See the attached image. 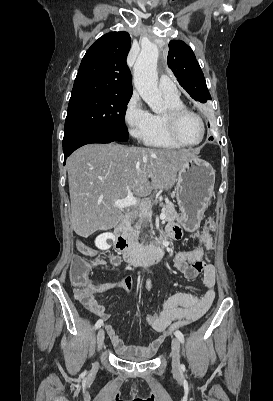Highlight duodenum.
<instances>
[{"label": "duodenum", "instance_id": "obj_1", "mask_svg": "<svg viewBox=\"0 0 273 401\" xmlns=\"http://www.w3.org/2000/svg\"><path fill=\"white\" fill-rule=\"evenodd\" d=\"M129 223L130 216L127 215L116 227L115 247L122 258L135 266L160 259L167 247L166 239L161 238L155 245L150 247L140 246L130 240L128 236Z\"/></svg>", "mask_w": 273, "mask_h": 401}]
</instances>
